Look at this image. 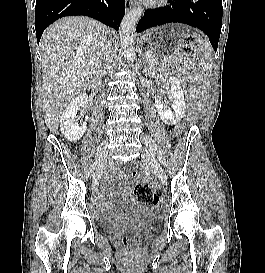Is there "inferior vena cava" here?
Here are the masks:
<instances>
[{"label":"inferior vena cava","instance_id":"obj_1","mask_svg":"<svg viewBox=\"0 0 265 273\" xmlns=\"http://www.w3.org/2000/svg\"><path fill=\"white\" fill-rule=\"evenodd\" d=\"M114 54L113 51L111 49V42L107 41L105 46L103 47V61L105 63H111L113 60Z\"/></svg>","mask_w":265,"mask_h":273}]
</instances>
